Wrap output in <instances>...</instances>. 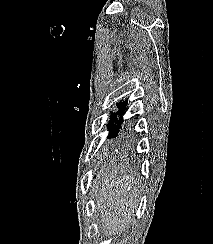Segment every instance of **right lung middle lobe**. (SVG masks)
Returning a JSON list of instances; mask_svg holds the SVG:
<instances>
[{
    "label": "right lung middle lobe",
    "instance_id": "obj_1",
    "mask_svg": "<svg viewBox=\"0 0 213 244\" xmlns=\"http://www.w3.org/2000/svg\"><path fill=\"white\" fill-rule=\"evenodd\" d=\"M126 105V103H120L118 106H119V111H118V114L121 116L122 118V115L124 114V111H125V108L124 106ZM117 121V117L115 116V114H113L111 116V121L108 125V130L110 131V134L108 136V139H113V138H116L118 135H119V132H120V128H121V124H122V119H120L116 124Z\"/></svg>",
    "mask_w": 213,
    "mask_h": 244
}]
</instances>
